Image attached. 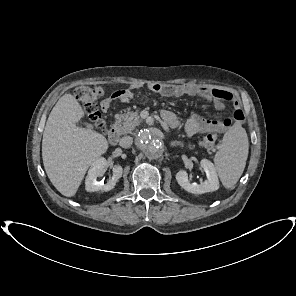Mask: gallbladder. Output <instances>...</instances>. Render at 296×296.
<instances>
[{"mask_svg": "<svg viewBox=\"0 0 296 296\" xmlns=\"http://www.w3.org/2000/svg\"><path fill=\"white\" fill-rule=\"evenodd\" d=\"M87 127H88V128H90V127H91V125H87Z\"/></svg>", "mask_w": 296, "mask_h": 296, "instance_id": "1", "label": "gallbladder"}]
</instances>
